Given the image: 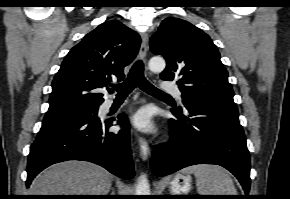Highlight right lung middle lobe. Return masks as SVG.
<instances>
[{"instance_id":"right-lung-middle-lobe-1","label":"right lung middle lobe","mask_w":290,"mask_h":199,"mask_svg":"<svg viewBox=\"0 0 290 199\" xmlns=\"http://www.w3.org/2000/svg\"><path fill=\"white\" fill-rule=\"evenodd\" d=\"M98 106L87 107L67 113L56 114V115H46L44 121L47 120H62V119H71V118H80V117H97Z\"/></svg>"}]
</instances>
